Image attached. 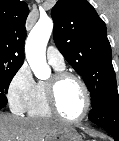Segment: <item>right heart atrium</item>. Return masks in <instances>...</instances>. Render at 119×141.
Listing matches in <instances>:
<instances>
[{"instance_id": "right-heart-atrium-1", "label": "right heart atrium", "mask_w": 119, "mask_h": 141, "mask_svg": "<svg viewBox=\"0 0 119 141\" xmlns=\"http://www.w3.org/2000/svg\"><path fill=\"white\" fill-rule=\"evenodd\" d=\"M36 85L28 64H22L11 78L7 90L8 101L14 112L27 111L33 100Z\"/></svg>"}]
</instances>
